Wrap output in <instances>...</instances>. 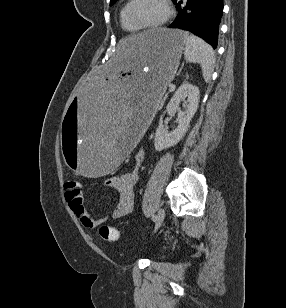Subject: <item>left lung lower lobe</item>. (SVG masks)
I'll use <instances>...</instances> for the list:
<instances>
[{
  "instance_id": "0a47b994",
  "label": "left lung lower lobe",
  "mask_w": 286,
  "mask_h": 308,
  "mask_svg": "<svg viewBox=\"0 0 286 308\" xmlns=\"http://www.w3.org/2000/svg\"><path fill=\"white\" fill-rule=\"evenodd\" d=\"M178 15L170 28L188 30L217 48L223 0H172ZM184 3V6H181Z\"/></svg>"
}]
</instances>
